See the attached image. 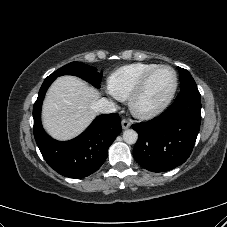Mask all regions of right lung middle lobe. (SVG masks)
Returning <instances> with one entry per match:
<instances>
[{"instance_id":"dd1d6c3e","label":"right lung middle lobe","mask_w":227,"mask_h":227,"mask_svg":"<svg viewBox=\"0 0 227 227\" xmlns=\"http://www.w3.org/2000/svg\"><path fill=\"white\" fill-rule=\"evenodd\" d=\"M62 75H75L91 83L96 88L100 87L102 73H98L94 67L79 62H71L47 77V79H56Z\"/></svg>"}]
</instances>
